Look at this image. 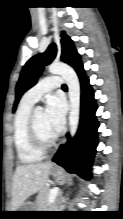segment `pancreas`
<instances>
[{"label":"pancreas","instance_id":"obj_1","mask_svg":"<svg viewBox=\"0 0 123 219\" xmlns=\"http://www.w3.org/2000/svg\"><path fill=\"white\" fill-rule=\"evenodd\" d=\"M51 189L48 187H44L41 192L38 194L35 207L37 211H51L53 208V204L49 203L48 198Z\"/></svg>","mask_w":123,"mask_h":219}]
</instances>
